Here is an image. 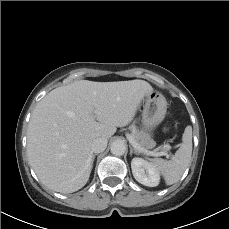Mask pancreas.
<instances>
[{
    "instance_id": "pancreas-1",
    "label": "pancreas",
    "mask_w": 229,
    "mask_h": 229,
    "mask_svg": "<svg viewBox=\"0 0 229 229\" xmlns=\"http://www.w3.org/2000/svg\"><path fill=\"white\" fill-rule=\"evenodd\" d=\"M133 139L142 147V148H146L145 146V141L143 139V134L141 131H139L138 129H136L135 127H131V134H130Z\"/></svg>"
}]
</instances>
